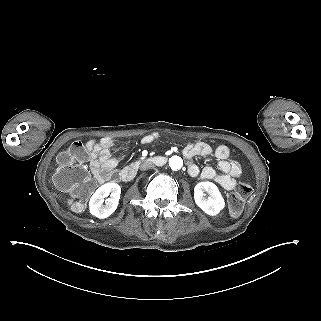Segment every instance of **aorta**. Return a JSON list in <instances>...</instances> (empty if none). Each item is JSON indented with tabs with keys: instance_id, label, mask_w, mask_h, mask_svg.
Wrapping results in <instances>:
<instances>
[{
	"instance_id": "obj_1",
	"label": "aorta",
	"mask_w": 321,
	"mask_h": 321,
	"mask_svg": "<svg viewBox=\"0 0 321 321\" xmlns=\"http://www.w3.org/2000/svg\"><path fill=\"white\" fill-rule=\"evenodd\" d=\"M169 166L172 170H179L183 166V161L178 156H173L169 159Z\"/></svg>"
}]
</instances>
